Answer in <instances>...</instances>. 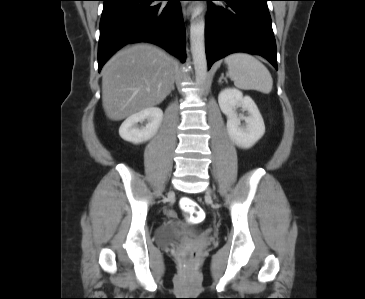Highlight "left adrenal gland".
<instances>
[{
  "label": "left adrenal gland",
  "mask_w": 365,
  "mask_h": 299,
  "mask_svg": "<svg viewBox=\"0 0 365 299\" xmlns=\"http://www.w3.org/2000/svg\"><path fill=\"white\" fill-rule=\"evenodd\" d=\"M223 79H224L225 81H227V80H226V78H224V74L222 73V74H221V77H220V78H219V80H218V83H219V84H221Z\"/></svg>",
  "instance_id": "obj_1"
}]
</instances>
